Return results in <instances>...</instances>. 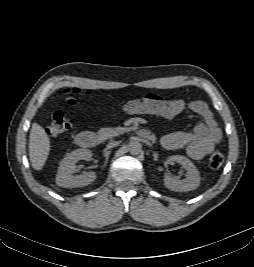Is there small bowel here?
<instances>
[{
    "instance_id": "c3829d8e",
    "label": "small bowel",
    "mask_w": 254,
    "mask_h": 267,
    "mask_svg": "<svg viewBox=\"0 0 254 267\" xmlns=\"http://www.w3.org/2000/svg\"><path fill=\"white\" fill-rule=\"evenodd\" d=\"M185 109L199 117L193 131L169 133L162 136L160 142L168 150L186 148L189 157L200 160L211 153L221 139V131L206 103L200 100L186 103L181 99L147 94L127 102L122 107V110L129 114H150L168 120L174 119Z\"/></svg>"
}]
</instances>
